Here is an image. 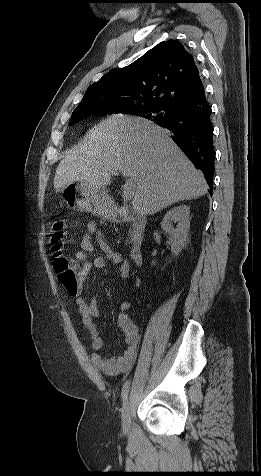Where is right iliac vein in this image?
<instances>
[{
	"instance_id": "63e3f726",
	"label": "right iliac vein",
	"mask_w": 261,
	"mask_h": 476,
	"mask_svg": "<svg viewBox=\"0 0 261 476\" xmlns=\"http://www.w3.org/2000/svg\"><path fill=\"white\" fill-rule=\"evenodd\" d=\"M130 411H131V403L129 399H126L122 409V429L126 433L130 427Z\"/></svg>"
}]
</instances>
